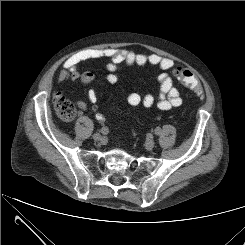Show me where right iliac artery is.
Segmentation results:
<instances>
[{
  "label": "right iliac artery",
  "instance_id": "82829eb1",
  "mask_svg": "<svg viewBox=\"0 0 245 245\" xmlns=\"http://www.w3.org/2000/svg\"><path fill=\"white\" fill-rule=\"evenodd\" d=\"M101 133H102L103 135L107 134V133H108V129H107L106 127H103V128L101 129Z\"/></svg>",
  "mask_w": 245,
  "mask_h": 245
}]
</instances>
